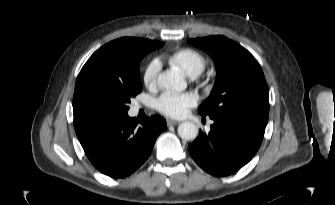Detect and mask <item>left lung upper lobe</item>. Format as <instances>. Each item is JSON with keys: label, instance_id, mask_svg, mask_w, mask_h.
<instances>
[{"label": "left lung upper lobe", "instance_id": "5c2ea615", "mask_svg": "<svg viewBox=\"0 0 335 205\" xmlns=\"http://www.w3.org/2000/svg\"><path fill=\"white\" fill-rule=\"evenodd\" d=\"M213 58L217 77L208 99L198 112L203 116L229 115L266 126L269 91L256 59L238 43L224 36L188 40Z\"/></svg>", "mask_w": 335, "mask_h": 205}]
</instances>
